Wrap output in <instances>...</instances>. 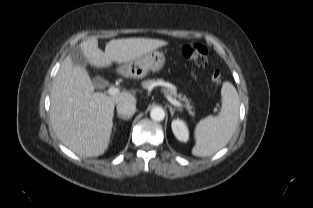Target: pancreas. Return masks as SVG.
I'll return each mask as SVG.
<instances>
[{"mask_svg":"<svg viewBox=\"0 0 313 208\" xmlns=\"http://www.w3.org/2000/svg\"><path fill=\"white\" fill-rule=\"evenodd\" d=\"M159 82H163V80H154V79H151V80H147V81H144L142 82V87L144 89H148L151 85L155 84V83H159ZM163 91L168 95V96H173V97H178L181 101L183 102H186V106L187 108H189V102H188V99L186 98V96H182L181 94H177V91L176 89H173V88H164Z\"/></svg>","mask_w":313,"mask_h":208,"instance_id":"cf45deb5","label":"pancreas"}]
</instances>
